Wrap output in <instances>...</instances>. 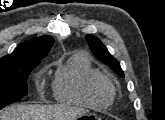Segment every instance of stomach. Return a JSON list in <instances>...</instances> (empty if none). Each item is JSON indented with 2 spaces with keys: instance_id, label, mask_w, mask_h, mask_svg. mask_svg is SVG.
Here are the masks:
<instances>
[{
  "instance_id": "stomach-1",
  "label": "stomach",
  "mask_w": 165,
  "mask_h": 120,
  "mask_svg": "<svg viewBox=\"0 0 165 120\" xmlns=\"http://www.w3.org/2000/svg\"><path fill=\"white\" fill-rule=\"evenodd\" d=\"M90 117H93L95 119H99V117L96 114L88 113V112H84V113L80 114L77 117V119H87V118H90Z\"/></svg>"
}]
</instances>
